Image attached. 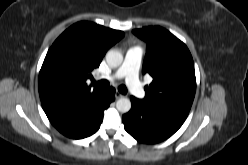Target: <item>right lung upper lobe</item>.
<instances>
[{"label":"right lung upper lobe","instance_id":"right-lung-upper-lobe-1","mask_svg":"<svg viewBox=\"0 0 248 165\" xmlns=\"http://www.w3.org/2000/svg\"><path fill=\"white\" fill-rule=\"evenodd\" d=\"M124 33L92 22L65 30L49 49L39 73L42 107L53 126L70 122L102 100L105 89L88 86L93 69Z\"/></svg>","mask_w":248,"mask_h":165}]
</instances>
